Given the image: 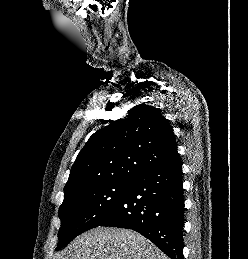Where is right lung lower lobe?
<instances>
[{"mask_svg": "<svg viewBox=\"0 0 248 259\" xmlns=\"http://www.w3.org/2000/svg\"><path fill=\"white\" fill-rule=\"evenodd\" d=\"M181 166L178 158L136 177L120 202L98 226L135 230L171 259H183Z\"/></svg>", "mask_w": 248, "mask_h": 259, "instance_id": "98d812e1", "label": "right lung lower lobe"}]
</instances>
